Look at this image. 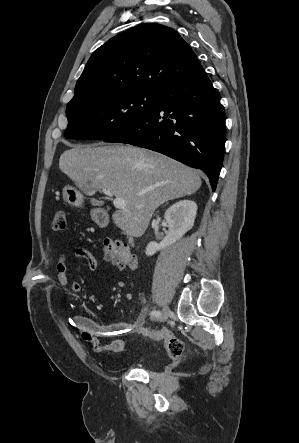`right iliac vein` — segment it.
Instances as JSON below:
<instances>
[{"label":"right iliac vein","mask_w":299,"mask_h":443,"mask_svg":"<svg viewBox=\"0 0 299 443\" xmlns=\"http://www.w3.org/2000/svg\"><path fill=\"white\" fill-rule=\"evenodd\" d=\"M169 313H170L169 309H168L167 307H165V308L162 310L161 315L158 317V320H159L160 322H164V321H166V320L168 319V317H169Z\"/></svg>","instance_id":"obj_1"}]
</instances>
